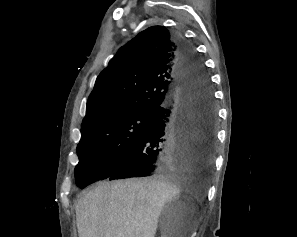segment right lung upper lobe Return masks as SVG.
<instances>
[{"label": "right lung upper lobe", "mask_w": 297, "mask_h": 237, "mask_svg": "<svg viewBox=\"0 0 297 237\" xmlns=\"http://www.w3.org/2000/svg\"><path fill=\"white\" fill-rule=\"evenodd\" d=\"M174 35L152 26L119 49L97 77L81 131L97 121L135 112H155L180 86Z\"/></svg>", "instance_id": "right-lung-upper-lobe-1"}]
</instances>
